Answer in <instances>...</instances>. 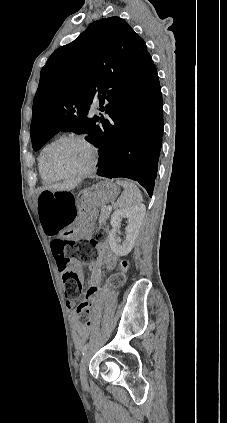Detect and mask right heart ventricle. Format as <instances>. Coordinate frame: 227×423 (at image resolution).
<instances>
[{
	"mask_svg": "<svg viewBox=\"0 0 227 423\" xmlns=\"http://www.w3.org/2000/svg\"><path fill=\"white\" fill-rule=\"evenodd\" d=\"M56 140L57 139H54V140L48 142L47 144H45L42 147V149L40 150L38 158H37L39 175H40L42 182L44 184H52V183H55V182L58 181V178H55V177L51 176L49 173H47V171L45 170L44 165H43V157H44L45 150Z\"/></svg>",
	"mask_w": 227,
	"mask_h": 423,
	"instance_id": "right-heart-ventricle-1",
	"label": "right heart ventricle"
}]
</instances>
